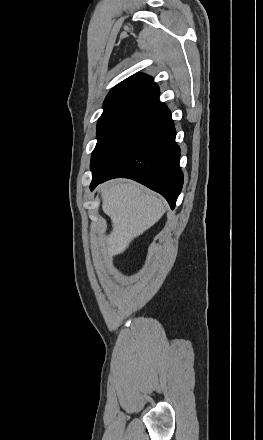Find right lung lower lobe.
I'll return each instance as SVG.
<instances>
[{"label":"right lung lower lobe","instance_id":"right-lung-lower-lobe-1","mask_svg":"<svg viewBox=\"0 0 263 440\" xmlns=\"http://www.w3.org/2000/svg\"><path fill=\"white\" fill-rule=\"evenodd\" d=\"M143 134L103 177L92 178L90 189L118 177L133 179L163 195L174 209L183 185L180 148L170 110L165 104Z\"/></svg>","mask_w":263,"mask_h":440}]
</instances>
